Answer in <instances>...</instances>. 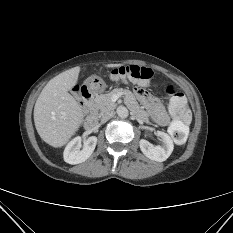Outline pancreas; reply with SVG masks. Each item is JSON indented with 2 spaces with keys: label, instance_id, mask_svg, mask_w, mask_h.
<instances>
[{
  "label": "pancreas",
  "instance_id": "pancreas-1",
  "mask_svg": "<svg viewBox=\"0 0 233 233\" xmlns=\"http://www.w3.org/2000/svg\"><path fill=\"white\" fill-rule=\"evenodd\" d=\"M114 95H125V99L130 101L133 105L136 106V108L134 109V114L136 115V117L146 123L149 122L147 112L138 107V104L135 101V98L132 92H130L129 90L121 89V88L114 89L110 93H107V94H101V95L96 96L95 105H94L95 112L101 115L107 111L114 110L116 107V103H114L112 100Z\"/></svg>",
  "mask_w": 233,
  "mask_h": 233
}]
</instances>
